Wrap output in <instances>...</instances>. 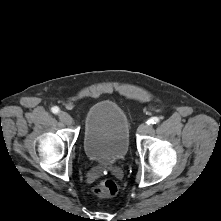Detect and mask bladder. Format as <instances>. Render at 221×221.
Returning <instances> with one entry per match:
<instances>
[{
	"instance_id": "1",
	"label": "bladder",
	"mask_w": 221,
	"mask_h": 221,
	"mask_svg": "<svg viewBox=\"0 0 221 221\" xmlns=\"http://www.w3.org/2000/svg\"><path fill=\"white\" fill-rule=\"evenodd\" d=\"M129 140L128 118L117 103L103 100L87 110L83 148L88 158L101 164L114 163L126 155Z\"/></svg>"
}]
</instances>
